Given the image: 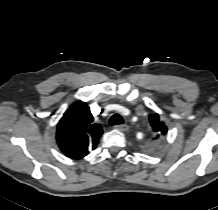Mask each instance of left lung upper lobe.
<instances>
[{"mask_svg": "<svg viewBox=\"0 0 218 210\" xmlns=\"http://www.w3.org/2000/svg\"><path fill=\"white\" fill-rule=\"evenodd\" d=\"M149 119L153 131L158 134L157 136L165 135L167 133V127L164 122L160 121L158 114H151Z\"/></svg>", "mask_w": 218, "mask_h": 210, "instance_id": "left-lung-upper-lobe-1", "label": "left lung upper lobe"}]
</instances>
